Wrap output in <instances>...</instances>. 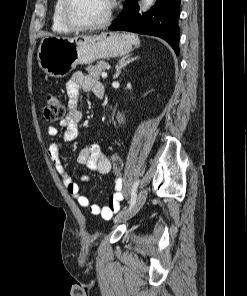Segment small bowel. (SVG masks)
<instances>
[{"label":"small bowel","instance_id":"1","mask_svg":"<svg viewBox=\"0 0 247 296\" xmlns=\"http://www.w3.org/2000/svg\"><path fill=\"white\" fill-rule=\"evenodd\" d=\"M101 88L103 87L99 81L81 72L74 73L67 82L68 114L60 122L61 127L64 129L63 140L65 142L74 140L78 135L79 124L83 117L78 107L80 90L82 89L84 92H91L96 95ZM47 131L51 138H56L58 135V129L55 126H49ZM48 155L53 166L61 175L67 191L80 206L88 208L93 215L102 216L105 219H110L113 214L120 210V203L124 198L121 180H116L114 192L110 196L107 205L101 206L99 204H93L80 192L78 183L71 177L62 164L60 159V145L57 141L50 144ZM77 162L87 166L93 173L108 174L111 170L109 158L101 152L98 145L83 147L78 153ZM90 180L91 176L89 175H84L80 178V182L83 183H87Z\"/></svg>","mask_w":247,"mask_h":296}]
</instances>
